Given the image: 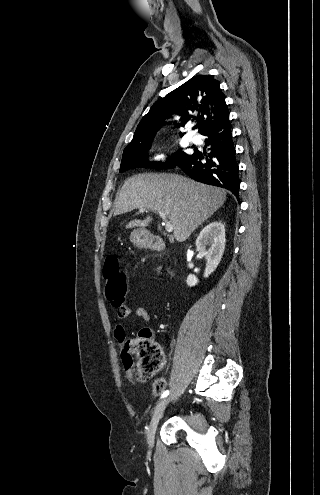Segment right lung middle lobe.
<instances>
[{
  "mask_svg": "<svg viewBox=\"0 0 320 495\" xmlns=\"http://www.w3.org/2000/svg\"><path fill=\"white\" fill-rule=\"evenodd\" d=\"M151 144L140 145L123 152L120 172L133 168L144 167L151 169H168L174 168L185 161L190 155L181 150L172 154L165 163L150 162L147 159L148 150Z\"/></svg>",
  "mask_w": 320,
  "mask_h": 495,
  "instance_id": "dd1d6c3e",
  "label": "right lung middle lobe"
}]
</instances>
